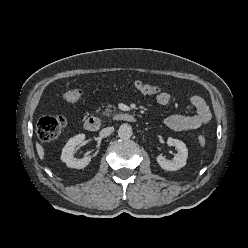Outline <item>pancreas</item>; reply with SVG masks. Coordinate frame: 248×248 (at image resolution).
Returning <instances> with one entry per match:
<instances>
[{
  "label": "pancreas",
  "mask_w": 248,
  "mask_h": 248,
  "mask_svg": "<svg viewBox=\"0 0 248 248\" xmlns=\"http://www.w3.org/2000/svg\"><path fill=\"white\" fill-rule=\"evenodd\" d=\"M111 108H112V106L111 105H109L108 106V108H106V110H105V112H104V115H106V116H111ZM114 114H116V110H114Z\"/></svg>",
  "instance_id": "pancreas-1"
}]
</instances>
